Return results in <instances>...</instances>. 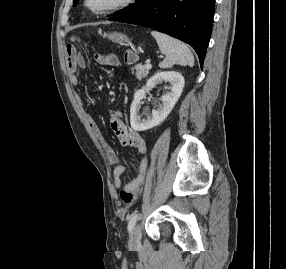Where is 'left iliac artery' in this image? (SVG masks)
<instances>
[{
    "label": "left iliac artery",
    "mask_w": 286,
    "mask_h": 269,
    "mask_svg": "<svg viewBox=\"0 0 286 269\" xmlns=\"http://www.w3.org/2000/svg\"><path fill=\"white\" fill-rule=\"evenodd\" d=\"M139 218V213H135L130 217L129 223H128V231L131 232Z\"/></svg>",
    "instance_id": "44dca946"
}]
</instances>
